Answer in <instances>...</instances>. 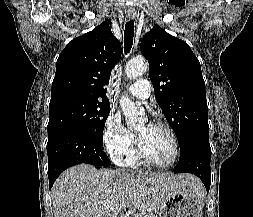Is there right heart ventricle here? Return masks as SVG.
Here are the masks:
<instances>
[{"label":"right heart ventricle","instance_id":"e07e8e85","mask_svg":"<svg viewBox=\"0 0 253 217\" xmlns=\"http://www.w3.org/2000/svg\"><path fill=\"white\" fill-rule=\"evenodd\" d=\"M121 163L125 166L135 167L139 165L140 161L136 156V152L131 150L127 156L121 160Z\"/></svg>","mask_w":253,"mask_h":217}]
</instances>
